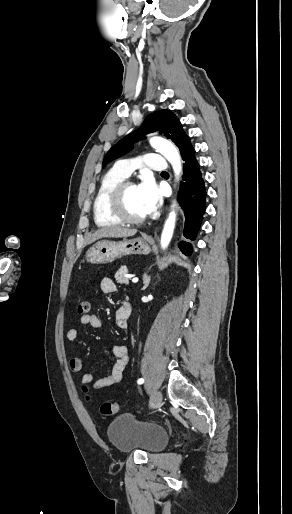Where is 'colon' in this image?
Listing matches in <instances>:
<instances>
[{
  "label": "colon",
  "mask_w": 292,
  "mask_h": 514,
  "mask_svg": "<svg viewBox=\"0 0 292 514\" xmlns=\"http://www.w3.org/2000/svg\"><path fill=\"white\" fill-rule=\"evenodd\" d=\"M91 303L89 300H80L77 304V313L78 315H87L90 312ZM79 392L82 395H85L88 392V389L85 386H82L79 389ZM119 410V405L115 401H107L100 405V413L103 416H113Z\"/></svg>",
  "instance_id": "1"
}]
</instances>
